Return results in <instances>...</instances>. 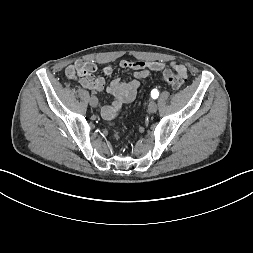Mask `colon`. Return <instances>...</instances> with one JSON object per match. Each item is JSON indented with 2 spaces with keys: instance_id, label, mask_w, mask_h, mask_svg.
Wrapping results in <instances>:
<instances>
[{
  "instance_id": "5ec220e1",
  "label": "colon",
  "mask_w": 253,
  "mask_h": 253,
  "mask_svg": "<svg viewBox=\"0 0 253 253\" xmlns=\"http://www.w3.org/2000/svg\"><path fill=\"white\" fill-rule=\"evenodd\" d=\"M162 77L164 81L174 89H178L182 87L186 83V80H187L186 73L175 68L165 69L162 72ZM111 126L114 127L112 123H111ZM113 137L116 139L120 137L118 130H116L115 128H113Z\"/></svg>"
}]
</instances>
